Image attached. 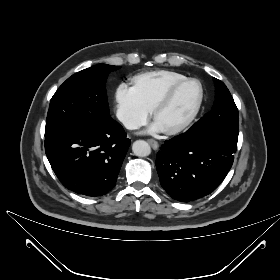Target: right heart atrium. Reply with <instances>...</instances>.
Wrapping results in <instances>:
<instances>
[{
  "label": "right heart atrium",
  "instance_id": "obj_1",
  "mask_svg": "<svg viewBox=\"0 0 280 280\" xmlns=\"http://www.w3.org/2000/svg\"><path fill=\"white\" fill-rule=\"evenodd\" d=\"M115 101L117 117L126 128L137 129L148 121L150 109L133 86L120 83L116 88Z\"/></svg>",
  "mask_w": 280,
  "mask_h": 280
}]
</instances>
